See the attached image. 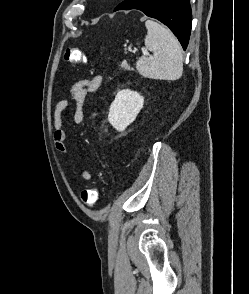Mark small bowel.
<instances>
[{
  "label": "small bowel",
  "instance_id": "small-bowel-1",
  "mask_svg": "<svg viewBox=\"0 0 249 294\" xmlns=\"http://www.w3.org/2000/svg\"><path fill=\"white\" fill-rule=\"evenodd\" d=\"M102 83V77L95 75L91 78L82 79L74 83L69 92V98L60 100L56 103L53 111L54 124V144L58 152L67 153L68 148L66 140L68 138L67 132L63 129V112L74 103L73 120L77 125L84 121V106L86 98L89 94L96 92ZM71 172L74 176H80L85 181L92 180V173L89 170H84L79 173L75 166H70Z\"/></svg>",
  "mask_w": 249,
  "mask_h": 294
}]
</instances>
